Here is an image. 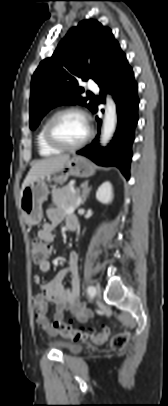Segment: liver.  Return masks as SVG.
Returning a JSON list of instances; mask_svg holds the SVG:
<instances>
[{
    "label": "liver",
    "mask_w": 168,
    "mask_h": 406,
    "mask_svg": "<svg viewBox=\"0 0 168 406\" xmlns=\"http://www.w3.org/2000/svg\"><path fill=\"white\" fill-rule=\"evenodd\" d=\"M69 159H70L69 155H59L35 162L32 165L30 171L28 172L22 184L20 197L22 195L23 189L27 185L38 179H43L46 176L60 172L64 168L65 164L68 162Z\"/></svg>",
    "instance_id": "obj_1"
}]
</instances>
